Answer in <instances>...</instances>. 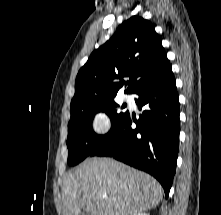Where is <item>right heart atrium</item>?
Instances as JSON below:
<instances>
[{"mask_svg":"<svg viewBox=\"0 0 221 215\" xmlns=\"http://www.w3.org/2000/svg\"><path fill=\"white\" fill-rule=\"evenodd\" d=\"M111 128L109 115L104 111L96 112L91 120V130L96 135H104Z\"/></svg>","mask_w":221,"mask_h":215,"instance_id":"d8ad5b80","label":"right heart atrium"}]
</instances>
